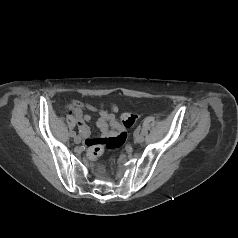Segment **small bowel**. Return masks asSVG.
<instances>
[{
    "label": "small bowel",
    "mask_w": 238,
    "mask_h": 238,
    "mask_svg": "<svg viewBox=\"0 0 238 238\" xmlns=\"http://www.w3.org/2000/svg\"><path fill=\"white\" fill-rule=\"evenodd\" d=\"M112 112L109 113L103 107H95L88 103H83L81 101L73 100L67 105V109L75 116L78 121L79 131L83 138L85 139V144L91 148L96 145L100 140H104L110 137H116L120 134L122 129L128 128L123 127L121 123L115 116V113L118 112V107L113 104L111 106ZM85 110L96 111L99 114V119L97 121V127L99 128L103 138H91L90 137V128L87 125V122L90 121V115L85 113Z\"/></svg>",
    "instance_id": "c3829d8e"
}]
</instances>
